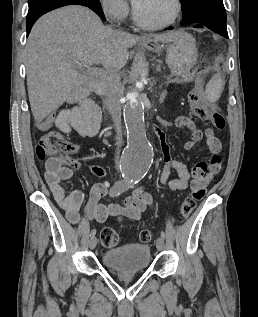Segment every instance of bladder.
Segmentation results:
<instances>
[{"mask_svg":"<svg viewBox=\"0 0 258 317\" xmlns=\"http://www.w3.org/2000/svg\"><path fill=\"white\" fill-rule=\"evenodd\" d=\"M151 249L144 243H132L104 252L103 263L114 270L134 272L142 271L149 266Z\"/></svg>","mask_w":258,"mask_h":317,"instance_id":"31cf9c89","label":"bladder"}]
</instances>
